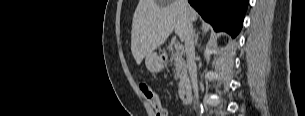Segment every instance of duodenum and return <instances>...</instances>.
Here are the masks:
<instances>
[{"label": "duodenum", "instance_id": "obj_1", "mask_svg": "<svg viewBox=\"0 0 305 116\" xmlns=\"http://www.w3.org/2000/svg\"><path fill=\"white\" fill-rule=\"evenodd\" d=\"M179 97L183 104H190L192 99L191 84L188 79L183 80L179 87Z\"/></svg>", "mask_w": 305, "mask_h": 116}]
</instances>
